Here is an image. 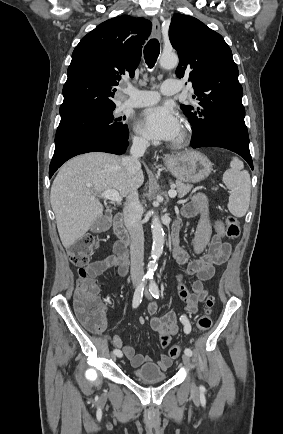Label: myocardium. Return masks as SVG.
<instances>
[{
  "mask_svg": "<svg viewBox=\"0 0 283 434\" xmlns=\"http://www.w3.org/2000/svg\"><path fill=\"white\" fill-rule=\"evenodd\" d=\"M189 129L187 127V125H183L181 132L179 134V136L173 141L172 146L174 148H181L184 145L187 144L188 140H189Z\"/></svg>",
  "mask_w": 283,
  "mask_h": 434,
  "instance_id": "1",
  "label": "myocardium"
}]
</instances>
